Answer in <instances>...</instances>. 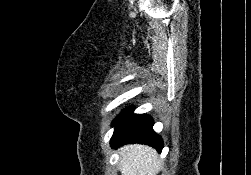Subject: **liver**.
Masks as SVG:
<instances>
[{
  "label": "liver",
  "mask_w": 251,
  "mask_h": 175,
  "mask_svg": "<svg viewBox=\"0 0 251 175\" xmlns=\"http://www.w3.org/2000/svg\"><path fill=\"white\" fill-rule=\"evenodd\" d=\"M119 171L121 175H157L161 169V159L156 149L141 143H130L119 149Z\"/></svg>",
  "instance_id": "liver-1"
}]
</instances>
